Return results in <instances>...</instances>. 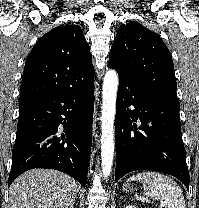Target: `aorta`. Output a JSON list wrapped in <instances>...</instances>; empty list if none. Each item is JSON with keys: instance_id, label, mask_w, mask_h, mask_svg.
Instances as JSON below:
<instances>
[{"instance_id": "762f6f07", "label": "aorta", "mask_w": 199, "mask_h": 208, "mask_svg": "<svg viewBox=\"0 0 199 208\" xmlns=\"http://www.w3.org/2000/svg\"><path fill=\"white\" fill-rule=\"evenodd\" d=\"M118 83L117 72L112 69L107 71L103 81L101 115V166L104 178L110 175L114 159V119Z\"/></svg>"}]
</instances>
